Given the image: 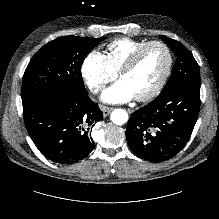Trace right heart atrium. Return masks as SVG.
I'll return each instance as SVG.
<instances>
[{"label":"right heart atrium","mask_w":219,"mask_h":219,"mask_svg":"<svg viewBox=\"0 0 219 219\" xmlns=\"http://www.w3.org/2000/svg\"><path fill=\"white\" fill-rule=\"evenodd\" d=\"M81 74L89 89L97 94L116 77L104 53L92 50L84 58Z\"/></svg>","instance_id":"obj_1"}]
</instances>
